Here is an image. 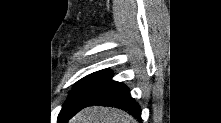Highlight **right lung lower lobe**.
Here are the masks:
<instances>
[{
    "label": "right lung lower lobe",
    "mask_w": 221,
    "mask_h": 123,
    "mask_svg": "<svg viewBox=\"0 0 221 123\" xmlns=\"http://www.w3.org/2000/svg\"><path fill=\"white\" fill-rule=\"evenodd\" d=\"M92 105L121 108L133 113V116L141 121V109L131 98L129 89L124 84L111 80V77L94 91L89 103L85 107ZM70 118V116H63L61 113L59 115V119L63 121H67Z\"/></svg>",
    "instance_id": "1"
}]
</instances>
